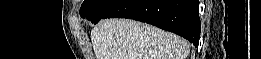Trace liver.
<instances>
[{
    "label": "liver",
    "mask_w": 261,
    "mask_h": 59,
    "mask_svg": "<svg viewBox=\"0 0 261 59\" xmlns=\"http://www.w3.org/2000/svg\"><path fill=\"white\" fill-rule=\"evenodd\" d=\"M96 59H186L181 37L128 19H107L91 31Z\"/></svg>",
    "instance_id": "1"
}]
</instances>
